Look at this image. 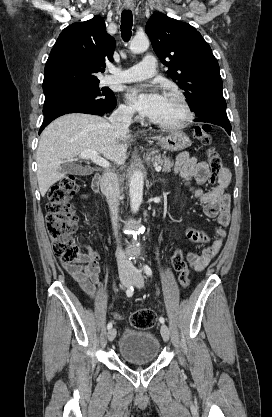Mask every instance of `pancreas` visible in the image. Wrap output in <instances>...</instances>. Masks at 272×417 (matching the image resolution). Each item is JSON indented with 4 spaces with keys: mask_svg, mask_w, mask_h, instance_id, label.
Instances as JSON below:
<instances>
[{
    "mask_svg": "<svg viewBox=\"0 0 272 417\" xmlns=\"http://www.w3.org/2000/svg\"><path fill=\"white\" fill-rule=\"evenodd\" d=\"M152 160L155 163L160 164L163 167L162 171L165 173L170 172L174 165V163L170 161V158L166 156L156 155Z\"/></svg>",
    "mask_w": 272,
    "mask_h": 417,
    "instance_id": "obj_1",
    "label": "pancreas"
}]
</instances>
